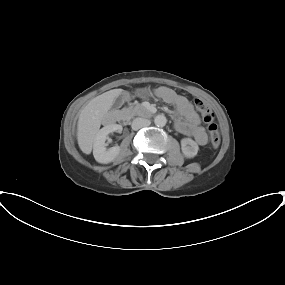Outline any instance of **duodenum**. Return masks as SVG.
Instances as JSON below:
<instances>
[{
    "label": "duodenum",
    "mask_w": 285,
    "mask_h": 285,
    "mask_svg": "<svg viewBox=\"0 0 285 285\" xmlns=\"http://www.w3.org/2000/svg\"><path fill=\"white\" fill-rule=\"evenodd\" d=\"M136 112L138 115L143 116V117H150L155 113V109L152 107H139L136 109ZM118 120H122L120 117V114L118 115Z\"/></svg>",
    "instance_id": "duodenum-1"
}]
</instances>
